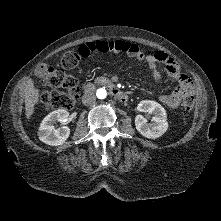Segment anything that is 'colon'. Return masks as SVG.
<instances>
[{
	"instance_id": "colon-1",
	"label": "colon",
	"mask_w": 221,
	"mask_h": 221,
	"mask_svg": "<svg viewBox=\"0 0 221 221\" xmlns=\"http://www.w3.org/2000/svg\"><path fill=\"white\" fill-rule=\"evenodd\" d=\"M81 58L79 52L67 51L61 59L62 68L68 70L77 67ZM63 69L47 67L43 71L42 82L44 86L54 89L44 92L41 96V101L47 109H70L79 98L77 79L67 74ZM58 88L63 90H55ZM182 108L185 113H189L193 108V99L186 98Z\"/></svg>"
}]
</instances>
